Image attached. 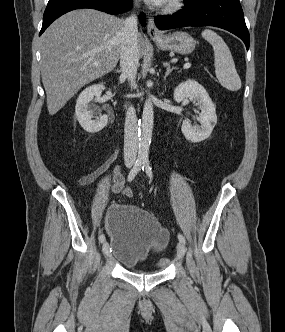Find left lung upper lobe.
<instances>
[{
    "mask_svg": "<svg viewBox=\"0 0 285 332\" xmlns=\"http://www.w3.org/2000/svg\"><path fill=\"white\" fill-rule=\"evenodd\" d=\"M185 1H193V0H185Z\"/></svg>",
    "mask_w": 285,
    "mask_h": 332,
    "instance_id": "1",
    "label": "left lung upper lobe"
}]
</instances>
